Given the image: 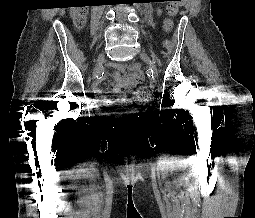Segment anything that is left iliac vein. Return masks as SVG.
Segmentation results:
<instances>
[{"instance_id": "left-iliac-vein-1", "label": "left iliac vein", "mask_w": 255, "mask_h": 218, "mask_svg": "<svg viewBox=\"0 0 255 218\" xmlns=\"http://www.w3.org/2000/svg\"><path fill=\"white\" fill-rule=\"evenodd\" d=\"M140 57L149 65V69L152 73V79L155 80L158 76V69L153 61L150 59L147 53L144 51L140 52Z\"/></svg>"}]
</instances>
